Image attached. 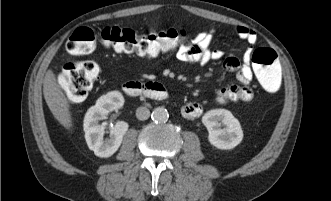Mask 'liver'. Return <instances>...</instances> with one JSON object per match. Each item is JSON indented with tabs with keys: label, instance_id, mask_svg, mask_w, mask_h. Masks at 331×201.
<instances>
[{
	"label": "liver",
	"instance_id": "obj_1",
	"mask_svg": "<svg viewBox=\"0 0 331 201\" xmlns=\"http://www.w3.org/2000/svg\"><path fill=\"white\" fill-rule=\"evenodd\" d=\"M43 94L55 119L70 130L73 127L70 105L51 69L47 70L43 80Z\"/></svg>",
	"mask_w": 331,
	"mask_h": 201
}]
</instances>
